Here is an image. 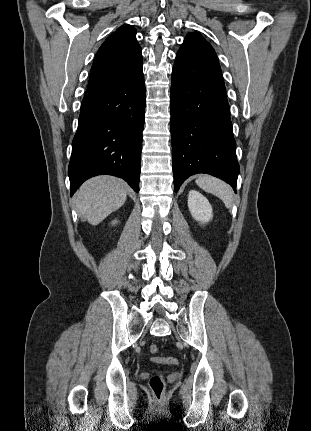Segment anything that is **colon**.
I'll use <instances>...</instances> for the list:
<instances>
[{
    "instance_id": "1",
    "label": "colon",
    "mask_w": 311,
    "mask_h": 431,
    "mask_svg": "<svg viewBox=\"0 0 311 431\" xmlns=\"http://www.w3.org/2000/svg\"><path fill=\"white\" fill-rule=\"evenodd\" d=\"M149 352L151 354H156L158 352L157 345H151L149 347ZM153 362L160 363V364H177L178 360L175 357H154L152 358ZM150 387L153 391V393L160 397L164 390V380L160 375H154L150 379Z\"/></svg>"
}]
</instances>
